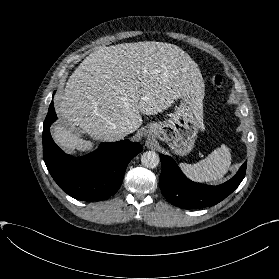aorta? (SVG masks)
<instances>
[{"instance_id": "762f6f07", "label": "aorta", "mask_w": 279, "mask_h": 279, "mask_svg": "<svg viewBox=\"0 0 279 279\" xmlns=\"http://www.w3.org/2000/svg\"><path fill=\"white\" fill-rule=\"evenodd\" d=\"M159 162V156L154 151H146L141 156V163L146 168L153 169L158 166Z\"/></svg>"}]
</instances>
